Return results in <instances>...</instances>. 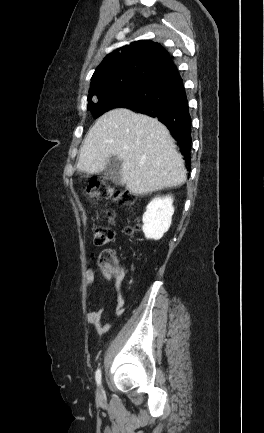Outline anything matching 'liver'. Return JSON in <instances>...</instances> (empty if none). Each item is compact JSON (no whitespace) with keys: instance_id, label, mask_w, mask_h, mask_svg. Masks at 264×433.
<instances>
[{"instance_id":"6515ba94","label":"liver","mask_w":264,"mask_h":433,"mask_svg":"<svg viewBox=\"0 0 264 433\" xmlns=\"http://www.w3.org/2000/svg\"><path fill=\"white\" fill-rule=\"evenodd\" d=\"M122 161L120 183L135 195L182 185L186 169L168 129L156 119L114 109L97 119L80 149L77 169L96 174Z\"/></svg>"}]
</instances>
